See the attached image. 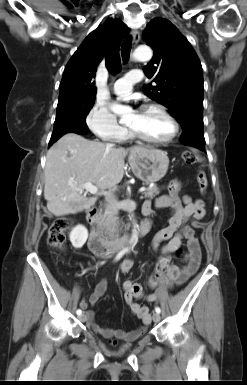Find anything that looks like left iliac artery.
Returning <instances> with one entry per match:
<instances>
[{"mask_svg":"<svg viewBox=\"0 0 247 385\" xmlns=\"http://www.w3.org/2000/svg\"><path fill=\"white\" fill-rule=\"evenodd\" d=\"M155 311H156L157 313H160V312H161V309H160L159 307H156V308H155Z\"/></svg>","mask_w":247,"mask_h":385,"instance_id":"obj_1","label":"left iliac artery"}]
</instances>
